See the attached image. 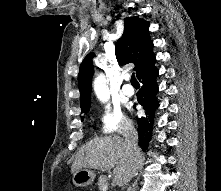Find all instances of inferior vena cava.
I'll return each instance as SVG.
<instances>
[{
	"instance_id": "1",
	"label": "inferior vena cava",
	"mask_w": 221,
	"mask_h": 191,
	"mask_svg": "<svg viewBox=\"0 0 221 191\" xmlns=\"http://www.w3.org/2000/svg\"><path fill=\"white\" fill-rule=\"evenodd\" d=\"M125 142L133 158L134 163L140 159L141 153L138 148V134L134 128H130L125 134Z\"/></svg>"
}]
</instances>
